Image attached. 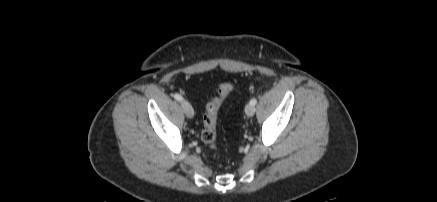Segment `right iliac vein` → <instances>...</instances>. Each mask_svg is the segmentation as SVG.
Segmentation results:
<instances>
[{
    "label": "right iliac vein",
    "mask_w": 437,
    "mask_h": 202,
    "mask_svg": "<svg viewBox=\"0 0 437 202\" xmlns=\"http://www.w3.org/2000/svg\"><path fill=\"white\" fill-rule=\"evenodd\" d=\"M181 106H182V109H183L185 115H186L188 118H193V116H194V110H193V107L191 106V104H190L189 102H187V101H183V102L181 103Z\"/></svg>",
    "instance_id": "1"
}]
</instances>
